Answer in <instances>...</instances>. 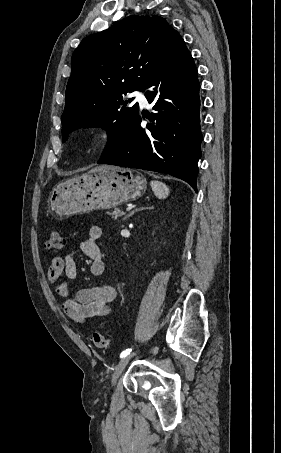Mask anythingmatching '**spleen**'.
<instances>
[{
	"label": "spleen",
	"mask_w": 281,
	"mask_h": 453,
	"mask_svg": "<svg viewBox=\"0 0 281 453\" xmlns=\"http://www.w3.org/2000/svg\"><path fill=\"white\" fill-rule=\"evenodd\" d=\"M150 184L155 196H158V198H166V196H168L169 188L164 182H160V180H151Z\"/></svg>",
	"instance_id": "obj_1"
}]
</instances>
